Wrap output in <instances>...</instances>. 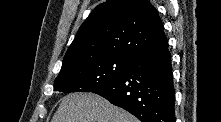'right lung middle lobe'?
<instances>
[{"mask_svg": "<svg viewBox=\"0 0 221 122\" xmlns=\"http://www.w3.org/2000/svg\"><path fill=\"white\" fill-rule=\"evenodd\" d=\"M132 61L131 57L109 55L75 64L59 73L54 91L91 92L119 78Z\"/></svg>", "mask_w": 221, "mask_h": 122, "instance_id": "right-lung-middle-lobe-1", "label": "right lung middle lobe"}]
</instances>
